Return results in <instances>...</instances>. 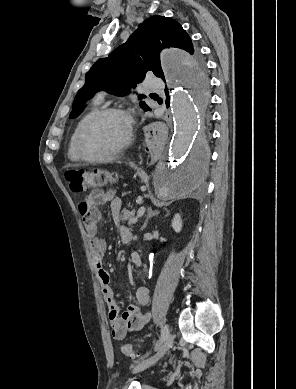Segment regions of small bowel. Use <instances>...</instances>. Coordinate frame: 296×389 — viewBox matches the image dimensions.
<instances>
[{"label":"small bowel","instance_id":"small-bowel-1","mask_svg":"<svg viewBox=\"0 0 296 389\" xmlns=\"http://www.w3.org/2000/svg\"><path fill=\"white\" fill-rule=\"evenodd\" d=\"M107 202L110 203L111 215L118 224L122 201L115 196L113 190H95L89 193L79 204V211L82 216L83 225L90 240V247L93 253L95 268L101 285L103 298L108 306V318L111 327V334L115 340H123L129 332L138 331L150 320L148 313L142 314L140 306L149 303L150 292L146 287H139L136 290V304H130L122 313L115 300L114 292L110 286V277L103 268L102 259L106 251V243L99 238L97 222L100 218V207ZM123 241L129 242L133 239L131 231L124 227H119ZM132 261L136 266H141V259L138 254H132Z\"/></svg>","mask_w":296,"mask_h":389}]
</instances>
